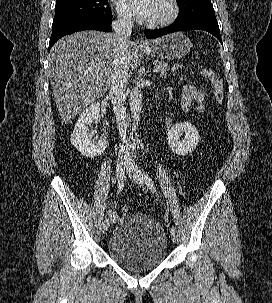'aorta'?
Returning <instances> with one entry per match:
<instances>
[{"mask_svg":"<svg viewBox=\"0 0 272 303\" xmlns=\"http://www.w3.org/2000/svg\"><path fill=\"white\" fill-rule=\"evenodd\" d=\"M129 106L134 123H137L142 110V94L138 87H134L130 92Z\"/></svg>","mask_w":272,"mask_h":303,"instance_id":"aorta-1","label":"aorta"}]
</instances>
